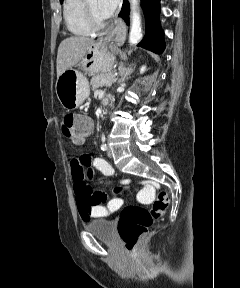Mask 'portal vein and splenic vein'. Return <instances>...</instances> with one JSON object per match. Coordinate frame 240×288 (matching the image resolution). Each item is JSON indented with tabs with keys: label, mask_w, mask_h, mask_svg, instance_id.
Here are the masks:
<instances>
[{
	"label": "portal vein and splenic vein",
	"mask_w": 240,
	"mask_h": 288,
	"mask_svg": "<svg viewBox=\"0 0 240 288\" xmlns=\"http://www.w3.org/2000/svg\"><path fill=\"white\" fill-rule=\"evenodd\" d=\"M117 75V73H115L113 76H116Z\"/></svg>",
	"instance_id": "obj_1"
}]
</instances>
